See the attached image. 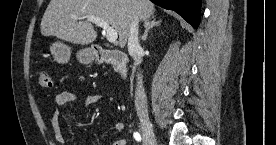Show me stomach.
<instances>
[{"instance_id":"stomach-1","label":"stomach","mask_w":276,"mask_h":145,"mask_svg":"<svg viewBox=\"0 0 276 145\" xmlns=\"http://www.w3.org/2000/svg\"><path fill=\"white\" fill-rule=\"evenodd\" d=\"M51 54L55 61L59 63H67L70 59L71 50L69 46L63 42L56 41L50 46ZM96 56V51L93 48H85L77 53L78 60L83 64L91 63Z\"/></svg>"}]
</instances>
